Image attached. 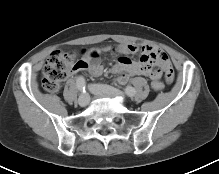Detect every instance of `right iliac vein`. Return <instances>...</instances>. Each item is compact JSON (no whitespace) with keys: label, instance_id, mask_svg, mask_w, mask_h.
<instances>
[{"label":"right iliac vein","instance_id":"right-iliac-vein-1","mask_svg":"<svg viewBox=\"0 0 219 174\" xmlns=\"http://www.w3.org/2000/svg\"><path fill=\"white\" fill-rule=\"evenodd\" d=\"M89 103V95L87 93L81 94L79 99H78V104L81 107L87 106Z\"/></svg>","mask_w":219,"mask_h":174}]
</instances>
